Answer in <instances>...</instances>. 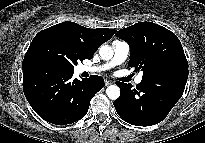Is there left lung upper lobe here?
<instances>
[{"instance_id": "left-lung-upper-lobe-1", "label": "left lung upper lobe", "mask_w": 205, "mask_h": 143, "mask_svg": "<svg viewBox=\"0 0 205 143\" xmlns=\"http://www.w3.org/2000/svg\"><path fill=\"white\" fill-rule=\"evenodd\" d=\"M130 46L129 67L142 70L143 77L170 70L188 72V62L177 36L152 22H138L117 31Z\"/></svg>"}]
</instances>
